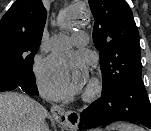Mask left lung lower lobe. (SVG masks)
Returning <instances> with one entry per match:
<instances>
[{"label":"left lung lower lobe","instance_id":"left-lung-lower-lobe-1","mask_svg":"<svg viewBox=\"0 0 151 131\" xmlns=\"http://www.w3.org/2000/svg\"><path fill=\"white\" fill-rule=\"evenodd\" d=\"M115 121H130L151 129V104L141 75H132L109 92H102L80 114V129L95 128Z\"/></svg>","mask_w":151,"mask_h":131}]
</instances>
